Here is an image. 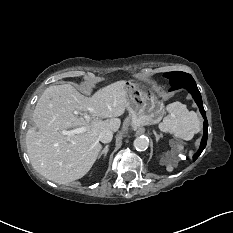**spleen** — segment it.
<instances>
[{
  "label": "spleen",
  "mask_w": 233,
  "mask_h": 233,
  "mask_svg": "<svg viewBox=\"0 0 233 233\" xmlns=\"http://www.w3.org/2000/svg\"><path fill=\"white\" fill-rule=\"evenodd\" d=\"M169 115L159 124L163 132L173 134L177 139L191 140L200 130V120L197 114L189 111L185 104L173 102L166 106Z\"/></svg>",
  "instance_id": "spleen-1"
}]
</instances>
